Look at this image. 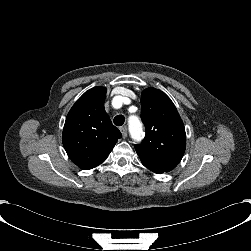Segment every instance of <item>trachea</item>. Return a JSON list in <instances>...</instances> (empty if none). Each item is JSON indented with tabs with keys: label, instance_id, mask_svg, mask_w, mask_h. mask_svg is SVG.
<instances>
[{
	"label": "trachea",
	"instance_id": "obj_1",
	"mask_svg": "<svg viewBox=\"0 0 251 251\" xmlns=\"http://www.w3.org/2000/svg\"><path fill=\"white\" fill-rule=\"evenodd\" d=\"M113 122L116 126H122L125 122V118L123 115H117L114 117Z\"/></svg>",
	"mask_w": 251,
	"mask_h": 251
}]
</instances>
